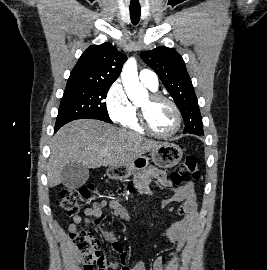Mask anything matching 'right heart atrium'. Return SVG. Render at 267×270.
I'll return each mask as SVG.
<instances>
[{
  "label": "right heart atrium",
  "instance_id": "obj_1",
  "mask_svg": "<svg viewBox=\"0 0 267 270\" xmlns=\"http://www.w3.org/2000/svg\"><path fill=\"white\" fill-rule=\"evenodd\" d=\"M105 105L108 116L115 123L124 122L132 112V103L127 97L121 81H115L105 96Z\"/></svg>",
  "mask_w": 267,
  "mask_h": 270
}]
</instances>
